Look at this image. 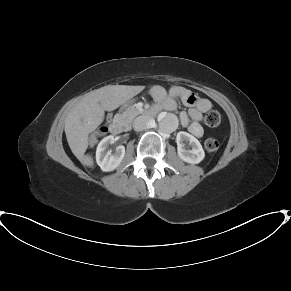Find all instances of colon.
Wrapping results in <instances>:
<instances>
[{
    "label": "colon",
    "instance_id": "colon-1",
    "mask_svg": "<svg viewBox=\"0 0 291 291\" xmlns=\"http://www.w3.org/2000/svg\"><path fill=\"white\" fill-rule=\"evenodd\" d=\"M204 122L209 127L218 126L221 122V115L217 111H209L204 116ZM205 148L208 152H216L219 148V142L214 138H208L205 141Z\"/></svg>",
    "mask_w": 291,
    "mask_h": 291
}]
</instances>
